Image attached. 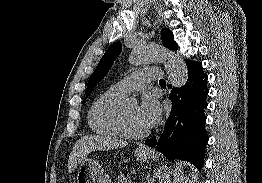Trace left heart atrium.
<instances>
[{
	"mask_svg": "<svg viewBox=\"0 0 262 183\" xmlns=\"http://www.w3.org/2000/svg\"><path fill=\"white\" fill-rule=\"evenodd\" d=\"M138 116L146 129L153 128L161 117V109L157 100L150 94L143 96L138 107Z\"/></svg>",
	"mask_w": 262,
	"mask_h": 183,
	"instance_id": "left-heart-atrium-1",
	"label": "left heart atrium"
}]
</instances>
